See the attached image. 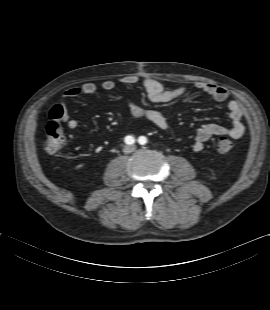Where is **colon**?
I'll return each instance as SVG.
<instances>
[{"label": "colon", "instance_id": "5ec220e1", "mask_svg": "<svg viewBox=\"0 0 270 310\" xmlns=\"http://www.w3.org/2000/svg\"><path fill=\"white\" fill-rule=\"evenodd\" d=\"M63 110L61 106L55 105L49 114L46 126L45 150L49 154L59 152L65 144V134L61 124ZM233 142L227 137H221L217 141L219 152L228 153L233 149Z\"/></svg>", "mask_w": 270, "mask_h": 310}]
</instances>
